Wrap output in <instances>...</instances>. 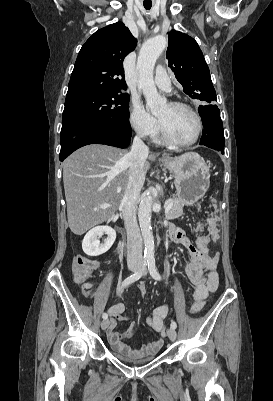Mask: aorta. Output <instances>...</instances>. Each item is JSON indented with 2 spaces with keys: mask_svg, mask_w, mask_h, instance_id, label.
<instances>
[{
  "mask_svg": "<svg viewBox=\"0 0 273 401\" xmlns=\"http://www.w3.org/2000/svg\"><path fill=\"white\" fill-rule=\"evenodd\" d=\"M167 45L164 36H156L148 40L141 48L138 60L137 70L139 73V88L142 90L146 100V108L153 115L161 112L166 104L165 98L157 92L153 80V71L157 59ZM154 188L147 190V195L141 200L138 209V218L140 229L144 240V256L146 259H154V237L151 227V207L153 202L152 192Z\"/></svg>",
  "mask_w": 273,
  "mask_h": 401,
  "instance_id": "762f6f07",
  "label": "aorta"
}]
</instances>
